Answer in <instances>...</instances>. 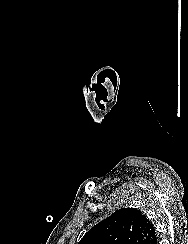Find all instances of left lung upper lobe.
I'll return each instance as SVG.
<instances>
[{"label": "left lung upper lobe", "instance_id": "left-lung-upper-lobe-1", "mask_svg": "<svg viewBox=\"0 0 188 244\" xmlns=\"http://www.w3.org/2000/svg\"><path fill=\"white\" fill-rule=\"evenodd\" d=\"M153 224L140 211L121 208L92 227L79 244H153Z\"/></svg>", "mask_w": 188, "mask_h": 244}]
</instances>
